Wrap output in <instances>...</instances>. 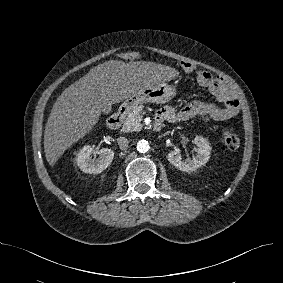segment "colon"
Returning <instances> with one entry per match:
<instances>
[{"instance_id":"5ec220e1","label":"colon","mask_w":283,"mask_h":283,"mask_svg":"<svg viewBox=\"0 0 283 283\" xmlns=\"http://www.w3.org/2000/svg\"><path fill=\"white\" fill-rule=\"evenodd\" d=\"M184 69H187V66L184 64ZM222 140L225 144V146L229 150H237L240 146V140L237 135H235L232 131L229 129H225L222 132Z\"/></svg>"}]
</instances>
